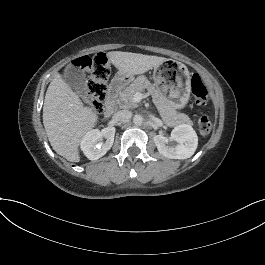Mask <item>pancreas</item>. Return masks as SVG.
Instances as JSON below:
<instances>
[{
    "label": "pancreas",
    "instance_id": "obj_1",
    "mask_svg": "<svg viewBox=\"0 0 265 265\" xmlns=\"http://www.w3.org/2000/svg\"><path fill=\"white\" fill-rule=\"evenodd\" d=\"M147 91L152 97L153 103L156 105L158 112L162 118V121L171 127H175L181 124L192 125V121L185 114L177 113L176 105L164 97L159 91L151 84L145 76H139L136 80L125 90L121 92L120 100L122 101V108L134 109L137 107L132 103L131 99L137 92L143 93Z\"/></svg>",
    "mask_w": 265,
    "mask_h": 265
}]
</instances>
